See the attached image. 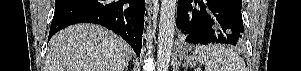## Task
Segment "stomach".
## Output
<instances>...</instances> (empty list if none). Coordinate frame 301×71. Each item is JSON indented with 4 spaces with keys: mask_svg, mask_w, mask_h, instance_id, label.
Returning a JSON list of instances; mask_svg holds the SVG:
<instances>
[{
    "mask_svg": "<svg viewBox=\"0 0 301 71\" xmlns=\"http://www.w3.org/2000/svg\"><path fill=\"white\" fill-rule=\"evenodd\" d=\"M199 60L195 58L194 56H188L185 58L184 66H190L193 67L197 64Z\"/></svg>",
    "mask_w": 301,
    "mask_h": 71,
    "instance_id": "obj_1",
    "label": "stomach"
}]
</instances>
